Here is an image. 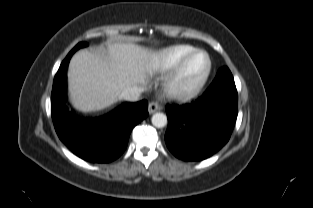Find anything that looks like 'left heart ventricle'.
I'll return each mask as SVG.
<instances>
[{
  "label": "left heart ventricle",
  "instance_id": "1",
  "mask_svg": "<svg viewBox=\"0 0 313 208\" xmlns=\"http://www.w3.org/2000/svg\"><path fill=\"white\" fill-rule=\"evenodd\" d=\"M205 66V58L203 55H198L188 66L186 74L184 76V83L191 84L202 72Z\"/></svg>",
  "mask_w": 313,
  "mask_h": 208
}]
</instances>
